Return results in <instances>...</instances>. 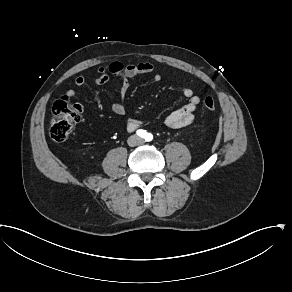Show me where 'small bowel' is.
<instances>
[{"instance_id": "small-bowel-1", "label": "small bowel", "mask_w": 292, "mask_h": 292, "mask_svg": "<svg viewBox=\"0 0 292 292\" xmlns=\"http://www.w3.org/2000/svg\"><path fill=\"white\" fill-rule=\"evenodd\" d=\"M154 71V66L149 62H141L136 64H124L119 61L112 62L108 67H101L98 76L93 78V82L97 85L105 84L109 81L111 76H116L120 79V101L112 104V110L117 115H123L126 111L124 99L129 92V78L136 76L151 74ZM153 79L155 82H160L162 77L160 74H154ZM86 79L83 76H78L74 80V84L78 87L85 85ZM184 96L187 98V103L181 108L173 111L165 119V125L171 129H178L189 126L195 119V112L200 103V98L195 94L193 89L185 88L183 90ZM68 97H74L76 91L69 89L66 91ZM141 123L136 120L127 122V128L133 130L139 127Z\"/></svg>"}]
</instances>
